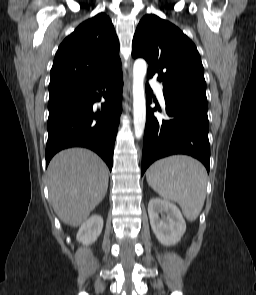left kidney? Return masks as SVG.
I'll use <instances>...</instances> for the list:
<instances>
[{"instance_id":"1","label":"left kidney","mask_w":256,"mask_h":295,"mask_svg":"<svg viewBox=\"0 0 256 295\" xmlns=\"http://www.w3.org/2000/svg\"><path fill=\"white\" fill-rule=\"evenodd\" d=\"M152 230L164 246L177 244L186 231V222L179 208L168 200L152 198L148 204Z\"/></svg>"}]
</instances>
